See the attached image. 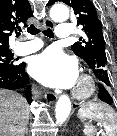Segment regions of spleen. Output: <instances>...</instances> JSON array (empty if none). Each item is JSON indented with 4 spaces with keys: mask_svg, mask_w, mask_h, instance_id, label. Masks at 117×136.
I'll list each match as a JSON object with an SVG mask.
<instances>
[{
    "mask_svg": "<svg viewBox=\"0 0 117 136\" xmlns=\"http://www.w3.org/2000/svg\"><path fill=\"white\" fill-rule=\"evenodd\" d=\"M77 115L82 121L89 119L100 123L105 129L106 136L117 135V113L110 106L104 103H89L82 106ZM95 131L94 126L84 124L83 132L86 136H94Z\"/></svg>",
    "mask_w": 117,
    "mask_h": 136,
    "instance_id": "spleen-1",
    "label": "spleen"
}]
</instances>
